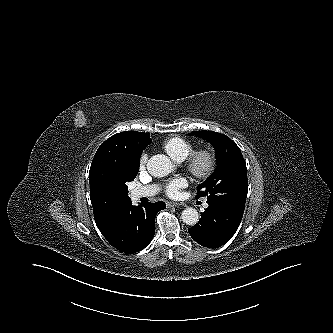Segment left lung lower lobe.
<instances>
[{
  "label": "left lung lower lobe",
  "mask_w": 333,
  "mask_h": 333,
  "mask_svg": "<svg viewBox=\"0 0 333 333\" xmlns=\"http://www.w3.org/2000/svg\"><path fill=\"white\" fill-rule=\"evenodd\" d=\"M208 208L201 213L197 224L188 229L200 245L217 248L227 243L237 231L243 212L225 204L207 201Z\"/></svg>",
  "instance_id": "left-lung-lower-lobe-1"
}]
</instances>
